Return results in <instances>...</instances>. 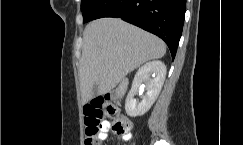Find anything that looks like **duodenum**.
<instances>
[{
  "mask_svg": "<svg viewBox=\"0 0 243 145\" xmlns=\"http://www.w3.org/2000/svg\"><path fill=\"white\" fill-rule=\"evenodd\" d=\"M123 89H124V86L121 87V90H123Z\"/></svg>",
  "mask_w": 243,
  "mask_h": 145,
  "instance_id": "1",
  "label": "duodenum"
}]
</instances>
